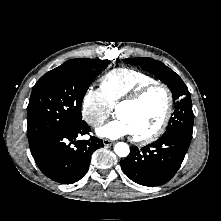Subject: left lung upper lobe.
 Returning <instances> with one entry per match:
<instances>
[{
  "mask_svg": "<svg viewBox=\"0 0 221 221\" xmlns=\"http://www.w3.org/2000/svg\"><path fill=\"white\" fill-rule=\"evenodd\" d=\"M123 61L146 68L170 88L175 108L163 135H178L191 140L194 121L191 96L179 75L162 62L151 58H127Z\"/></svg>",
  "mask_w": 221,
  "mask_h": 221,
  "instance_id": "5c2ea615",
  "label": "left lung upper lobe"
}]
</instances>
